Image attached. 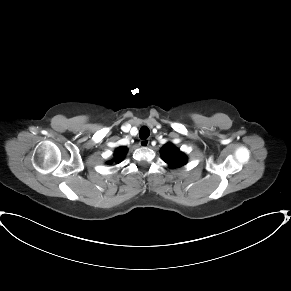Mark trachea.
Wrapping results in <instances>:
<instances>
[{"label": "trachea", "instance_id": "3493384b", "mask_svg": "<svg viewBox=\"0 0 291 291\" xmlns=\"http://www.w3.org/2000/svg\"><path fill=\"white\" fill-rule=\"evenodd\" d=\"M150 135V130L148 129V127H141L140 131H139V136L142 140H145L149 137Z\"/></svg>", "mask_w": 291, "mask_h": 291}]
</instances>
